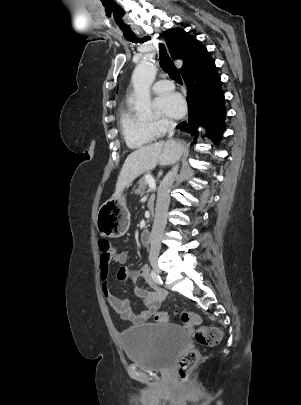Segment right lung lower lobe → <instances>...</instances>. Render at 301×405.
Here are the masks:
<instances>
[{
	"mask_svg": "<svg viewBox=\"0 0 301 405\" xmlns=\"http://www.w3.org/2000/svg\"><path fill=\"white\" fill-rule=\"evenodd\" d=\"M188 89V120L177 125L191 135H198L199 125L206 128V135L220 140L225 131L226 109L221 80L212 59L182 73ZM196 142L194 139L193 144Z\"/></svg>",
	"mask_w": 301,
	"mask_h": 405,
	"instance_id": "right-lung-lower-lobe-1",
	"label": "right lung lower lobe"
}]
</instances>
